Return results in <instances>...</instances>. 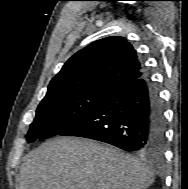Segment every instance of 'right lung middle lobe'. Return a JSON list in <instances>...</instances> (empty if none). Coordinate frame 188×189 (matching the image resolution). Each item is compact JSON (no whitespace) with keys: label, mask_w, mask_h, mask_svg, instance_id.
Listing matches in <instances>:
<instances>
[{"label":"right lung middle lobe","mask_w":188,"mask_h":189,"mask_svg":"<svg viewBox=\"0 0 188 189\" xmlns=\"http://www.w3.org/2000/svg\"><path fill=\"white\" fill-rule=\"evenodd\" d=\"M111 91L88 89L45 96L30 125L27 141L44 140L58 135L82 119Z\"/></svg>","instance_id":"1"}]
</instances>
